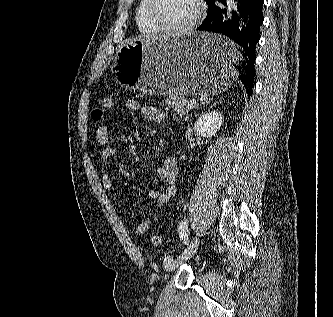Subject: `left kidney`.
<instances>
[{
  "instance_id": "left-kidney-1",
  "label": "left kidney",
  "mask_w": 333,
  "mask_h": 317,
  "mask_svg": "<svg viewBox=\"0 0 333 317\" xmlns=\"http://www.w3.org/2000/svg\"><path fill=\"white\" fill-rule=\"evenodd\" d=\"M223 115L218 111H209L201 115L194 125L196 135L211 138L217 134L223 123Z\"/></svg>"
}]
</instances>
